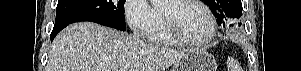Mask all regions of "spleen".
<instances>
[{
	"instance_id": "1",
	"label": "spleen",
	"mask_w": 301,
	"mask_h": 71,
	"mask_svg": "<svg viewBox=\"0 0 301 71\" xmlns=\"http://www.w3.org/2000/svg\"><path fill=\"white\" fill-rule=\"evenodd\" d=\"M227 64H228V69H230V71H242L239 64L233 58L229 57Z\"/></svg>"
}]
</instances>
